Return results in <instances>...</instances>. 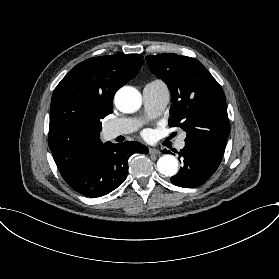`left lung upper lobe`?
Listing matches in <instances>:
<instances>
[{
    "label": "left lung upper lobe",
    "mask_w": 279,
    "mask_h": 279,
    "mask_svg": "<svg viewBox=\"0 0 279 279\" xmlns=\"http://www.w3.org/2000/svg\"><path fill=\"white\" fill-rule=\"evenodd\" d=\"M150 71L171 92L169 126L186 131L185 142H207L225 148L230 133L225 94L196 59L176 54L148 55Z\"/></svg>",
    "instance_id": "1"
}]
</instances>
